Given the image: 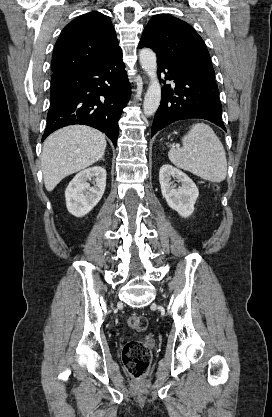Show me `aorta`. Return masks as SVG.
<instances>
[{"label": "aorta", "instance_id": "obj_1", "mask_svg": "<svg viewBox=\"0 0 272 417\" xmlns=\"http://www.w3.org/2000/svg\"><path fill=\"white\" fill-rule=\"evenodd\" d=\"M139 59L143 70L150 78V83L144 97L143 111L146 116L153 115L161 101V86L157 77L156 54L149 48L139 52Z\"/></svg>", "mask_w": 272, "mask_h": 417}]
</instances>
